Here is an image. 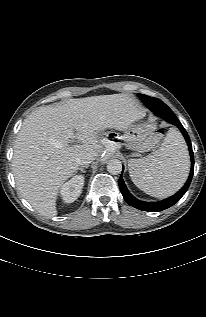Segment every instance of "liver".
Instances as JSON below:
<instances>
[{"label": "liver", "mask_w": 206, "mask_h": 317, "mask_svg": "<svg viewBox=\"0 0 206 317\" xmlns=\"http://www.w3.org/2000/svg\"><path fill=\"white\" fill-rule=\"evenodd\" d=\"M145 114L127 94L39 107L24 120L14 144L12 169L19 193L43 216H56L59 189L78 169L76 158L102 151L99 133L104 129L126 130ZM74 139L77 144L71 145Z\"/></svg>", "instance_id": "1"}]
</instances>
